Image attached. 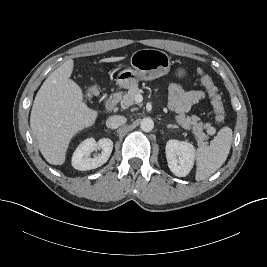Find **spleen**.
Returning <instances> with one entry per match:
<instances>
[{
    "label": "spleen",
    "mask_w": 267,
    "mask_h": 267,
    "mask_svg": "<svg viewBox=\"0 0 267 267\" xmlns=\"http://www.w3.org/2000/svg\"><path fill=\"white\" fill-rule=\"evenodd\" d=\"M232 133L231 128L223 127L209 145H199L196 152L197 170L195 179L197 181L209 178L226 161L232 144Z\"/></svg>",
    "instance_id": "1"
}]
</instances>
